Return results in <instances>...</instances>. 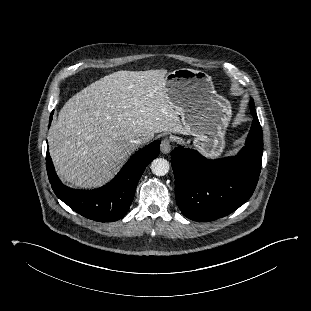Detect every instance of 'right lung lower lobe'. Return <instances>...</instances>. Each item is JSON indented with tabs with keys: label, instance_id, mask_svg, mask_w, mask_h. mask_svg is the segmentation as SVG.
Here are the masks:
<instances>
[{
	"label": "right lung lower lobe",
	"instance_id": "1",
	"mask_svg": "<svg viewBox=\"0 0 311 311\" xmlns=\"http://www.w3.org/2000/svg\"><path fill=\"white\" fill-rule=\"evenodd\" d=\"M53 112L50 115L51 124ZM160 152V141L156 140L135 153L121 171L105 186L95 190H76L62 184L55 173L47 151L48 178L56 196L78 214L99 222H113L122 218L129 210L136 185L146 166Z\"/></svg>",
	"mask_w": 311,
	"mask_h": 311
}]
</instances>
